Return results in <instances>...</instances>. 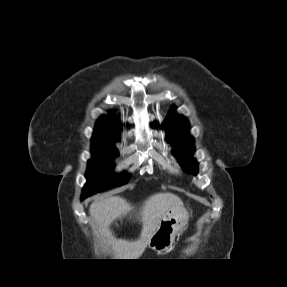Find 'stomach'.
I'll use <instances>...</instances> for the list:
<instances>
[{"label":"stomach","instance_id":"stomach-1","mask_svg":"<svg viewBox=\"0 0 287 287\" xmlns=\"http://www.w3.org/2000/svg\"><path fill=\"white\" fill-rule=\"evenodd\" d=\"M189 214L184 207L169 210L160 220L148 246L157 252H165L174 244L176 235L187 225Z\"/></svg>","mask_w":287,"mask_h":287}]
</instances>
